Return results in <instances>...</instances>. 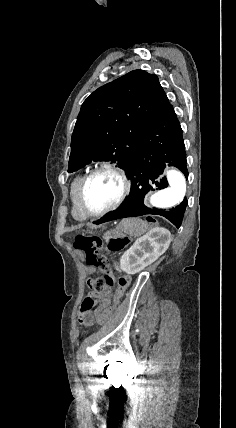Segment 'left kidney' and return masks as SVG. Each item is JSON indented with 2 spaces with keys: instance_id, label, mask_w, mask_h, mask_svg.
<instances>
[{
  "instance_id": "1",
  "label": "left kidney",
  "mask_w": 236,
  "mask_h": 428,
  "mask_svg": "<svg viewBox=\"0 0 236 428\" xmlns=\"http://www.w3.org/2000/svg\"><path fill=\"white\" fill-rule=\"evenodd\" d=\"M171 234L165 228H152L145 236L138 238L133 246L121 256L120 268L126 274H137L153 264L166 252Z\"/></svg>"
}]
</instances>
